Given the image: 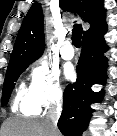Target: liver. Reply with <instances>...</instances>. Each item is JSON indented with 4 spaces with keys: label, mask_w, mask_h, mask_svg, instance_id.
<instances>
[{
    "label": "liver",
    "mask_w": 117,
    "mask_h": 136,
    "mask_svg": "<svg viewBox=\"0 0 117 136\" xmlns=\"http://www.w3.org/2000/svg\"><path fill=\"white\" fill-rule=\"evenodd\" d=\"M1 136H50L46 120L7 119L2 125ZM56 136H60L57 131Z\"/></svg>",
    "instance_id": "obj_1"
}]
</instances>
